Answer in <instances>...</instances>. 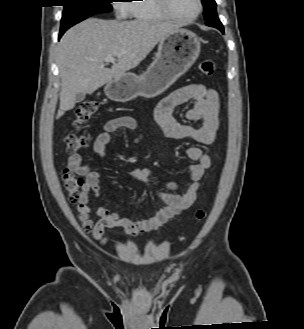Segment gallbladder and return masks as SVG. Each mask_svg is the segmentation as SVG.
I'll return each instance as SVG.
<instances>
[{"label":"gallbladder","mask_w":304,"mask_h":329,"mask_svg":"<svg viewBox=\"0 0 304 329\" xmlns=\"http://www.w3.org/2000/svg\"><path fill=\"white\" fill-rule=\"evenodd\" d=\"M84 98H85V93L79 92V93L76 94L75 102L79 103V102L83 101Z\"/></svg>","instance_id":"gallbladder-1"}]
</instances>
